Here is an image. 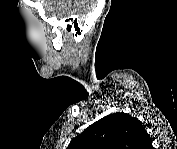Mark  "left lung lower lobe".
Here are the masks:
<instances>
[{"label": "left lung lower lobe", "instance_id": "obj_1", "mask_svg": "<svg viewBox=\"0 0 177 149\" xmlns=\"http://www.w3.org/2000/svg\"><path fill=\"white\" fill-rule=\"evenodd\" d=\"M146 142L149 143V144L147 143V145H146V149H150V148H152L151 138H150L149 135H147Z\"/></svg>", "mask_w": 177, "mask_h": 149}]
</instances>
